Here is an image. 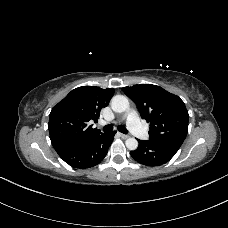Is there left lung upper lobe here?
I'll return each instance as SVG.
<instances>
[{
    "label": "left lung upper lobe",
    "instance_id": "5c2ea615",
    "mask_svg": "<svg viewBox=\"0 0 228 228\" xmlns=\"http://www.w3.org/2000/svg\"><path fill=\"white\" fill-rule=\"evenodd\" d=\"M123 91L137 105L141 118L150 122V140L183 143L189 115L178 96L151 84L124 87Z\"/></svg>",
    "mask_w": 228,
    "mask_h": 228
}]
</instances>
